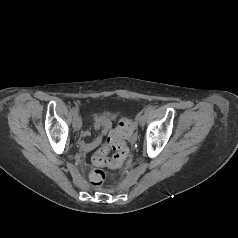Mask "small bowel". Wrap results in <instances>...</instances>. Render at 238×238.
I'll list each match as a JSON object with an SVG mask.
<instances>
[{
	"instance_id": "small-bowel-1",
	"label": "small bowel",
	"mask_w": 238,
	"mask_h": 238,
	"mask_svg": "<svg viewBox=\"0 0 238 238\" xmlns=\"http://www.w3.org/2000/svg\"><path fill=\"white\" fill-rule=\"evenodd\" d=\"M111 119H115L114 115L98 114L93 116V126L98 131V134L89 142L82 140L80 147L83 151H91L97 148L103 141V138L111 130ZM90 132L88 130L83 131L82 137H88Z\"/></svg>"
}]
</instances>
